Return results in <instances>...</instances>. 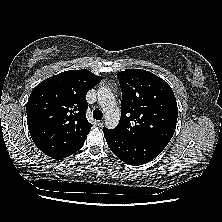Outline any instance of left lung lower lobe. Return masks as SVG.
Returning <instances> with one entry per match:
<instances>
[{"label":"left lung lower lobe","mask_w":222,"mask_h":222,"mask_svg":"<svg viewBox=\"0 0 222 222\" xmlns=\"http://www.w3.org/2000/svg\"><path fill=\"white\" fill-rule=\"evenodd\" d=\"M111 151L123 162L137 166L153 160L168 143L159 140H134L119 136L103 128Z\"/></svg>","instance_id":"obj_1"}]
</instances>
